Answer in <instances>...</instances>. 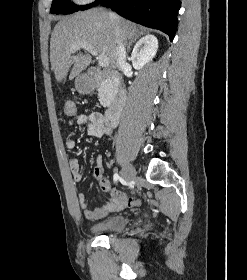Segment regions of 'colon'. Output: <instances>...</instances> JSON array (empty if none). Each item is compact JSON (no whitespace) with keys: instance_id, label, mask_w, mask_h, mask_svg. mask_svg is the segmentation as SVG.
I'll use <instances>...</instances> for the list:
<instances>
[{"instance_id":"1","label":"colon","mask_w":247,"mask_h":280,"mask_svg":"<svg viewBox=\"0 0 247 280\" xmlns=\"http://www.w3.org/2000/svg\"><path fill=\"white\" fill-rule=\"evenodd\" d=\"M76 104L73 101H67L64 106V113L68 117H72L76 114Z\"/></svg>"}]
</instances>
